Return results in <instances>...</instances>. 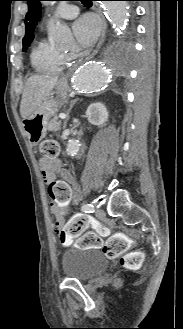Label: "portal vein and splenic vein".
I'll list each match as a JSON object with an SVG mask.
<instances>
[{"mask_svg": "<svg viewBox=\"0 0 183 329\" xmlns=\"http://www.w3.org/2000/svg\"><path fill=\"white\" fill-rule=\"evenodd\" d=\"M59 117H60L61 119H66L67 115H65V114H60Z\"/></svg>", "mask_w": 183, "mask_h": 329, "instance_id": "1", "label": "portal vein and splenic vein"}]
</instances>
